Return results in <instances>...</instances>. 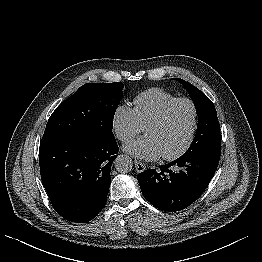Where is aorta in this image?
<instances>
[{"mask_svg": "<svg viewBox=\"0 0 262 262\" xmlns=\"http://www.w3.org/2000/svg\"><path fill=\"white\" fill-rule=\"evenodd\" d=\"M132 159L127 155H119L115 159V168L120 173H127L132 169Z\"/></svg>", "mask_w": 262, "mask_h": 262, "instance_id": "1", "label": "aorta"}]
</instances>
